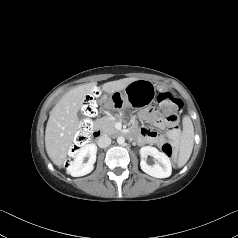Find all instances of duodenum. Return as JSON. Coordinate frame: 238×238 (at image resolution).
I'll list each match as a JSON object with an SVG mask.
<instances>
[{"label":"duodenum","instance_id":"410a0bca","mask_svg":"<svg viewBox=\"0 0 238 238\" xmlns=\"http://www.w3.org/2000/svg\"><path fill=\"white\" fill-rule=\"evenodd\" d=\"M92 134L94 137L98 138L102 135V132L99 129H93Z\"/></svg>","mask_w":238,"mask_h":238}]
</instances>
